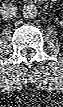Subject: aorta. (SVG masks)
Masks as SVG:
<instances>
[{"instance_id": "obj_1", "label": "aorta", "mask_w": 63, "mask_h": 107, "mask_svg": "<svg viewBox=\"0 0 63 107\" xmlns=\"http://www.w3.org/2000/svg\"><path fill=\"white\" fill-rule=\"evenodd\" d=\"M22 14L26 19H33L38 14V9L34 4H26L23 6Z\"/></svg>"}]
</instances>
